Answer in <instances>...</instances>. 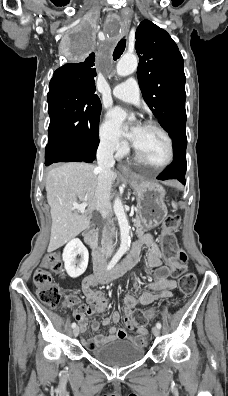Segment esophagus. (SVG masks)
I'll return each instance as SVG.
<instances>
[{
    "instance_id": "34e87169",
    "label": "esophagus",
    "mask_w": 228,
    "mask_h": 396,
    "mask_svg": "<svg viewBox=\"0 0 228 396\" xmlns=\"http://www.w3.org/2000/svg\"><path fill=\"white\" fill-rule=\"evenodd\" d=\"M121 14L125 19V21L128 22L132 15V11L129 8H124L122 9ZM126 31H127V26L123 28V33H125ZM118 169L126 174H132V171L126 165L119 164Z\"/></svg>"
}]
</instances>
